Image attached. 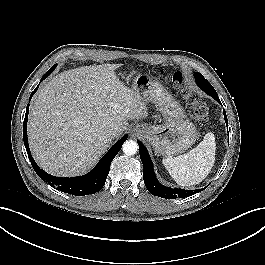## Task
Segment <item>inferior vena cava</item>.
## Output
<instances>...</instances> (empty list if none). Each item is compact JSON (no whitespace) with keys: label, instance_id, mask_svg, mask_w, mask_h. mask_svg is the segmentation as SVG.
I'll list each match as a JSON object with an SVG mask.
<instances>
[{"label":"inferior vena cava","instance_id":"inferior-vena-cava-1","mask_svg":"<svg viewBox=\"0 0 265 265\" xmlns=\"http://www.w3.org/2000/svg\"><path fill=\"white\" fill-rule=\"evenodd\" d=\"M107 136L108 137H115L116 136V131H115V129H113V128H110V129H108L107 130Z\"/></svg>","mask_w":265,"mask_h":265}]
</instances>
